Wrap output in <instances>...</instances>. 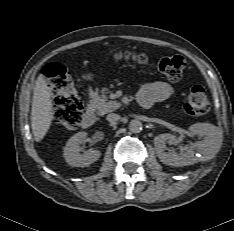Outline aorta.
<instances>
[{"label": "aorta", "instance_id": "aorta-1", "mask_svg": "<svg viewBox=\"0 0 234 231\" xmlns=\"http://www.w3.org/2000/svg\"><path fill=\"white\" fill-rule=\"evenodd\" d=\"M128 127H129V130L132 133H139L143 129V124H142V122L140 120L133 119V120L130 121Z\"/></svg>", "mask_w": 234, "mask_h": 231}]
</instances>
